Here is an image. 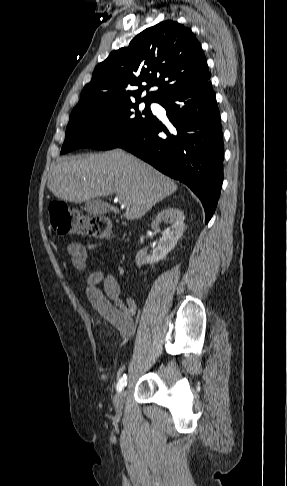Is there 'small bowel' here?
Here are the masks:
<instances>
[{
	"label": "small bowel",
	"mask_w": 287,
	"mask_h": 486,
	"mask_svg": "<svg viewBox=\"0 0 287 486\" xmlns=\"http://www.w3.org/2000/svg\"><path fill=\"white\" fill-rule=\"evenodd\" d=\"M103 245L101 242L84 243L71 242L67 245V253L73 267L84 271L87 265L88 252ZM103 286V290L99 286ZM87 298L99 314L112 325L124 339H129L134 333L133 316L137 306L133 298L121 297V287L114 275L104 271H96L87 279L85 289Z\"/></svg>",
	"instance_id": "c3829d8e"
}]
</instances>
